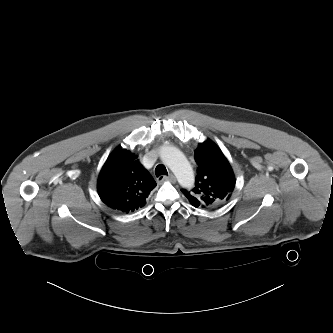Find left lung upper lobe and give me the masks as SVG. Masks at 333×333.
<instances>
[{
  "mask_svg": "<svg viewBox=\"0 0 333 333\" xmlns=\"http://www.w3.org/2000/svg\"><path fill=\"white\" fill-rule=\"evenodd\" d=\"M198 164L195 187L182 193L190 203L198 207L217 208L226 204L234 187L232 168L220 148L207 139L195 150Z\"/></svg>",
  "mask_w": 333,
  "mask_h": 333,
  "instance_id": "1",
  "label": "left lung upper lobe"
}]
</instances>
